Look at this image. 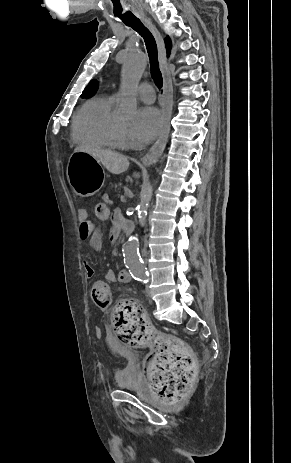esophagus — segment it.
I'll return each mask as SVG.
<instances>
[{
	"label": "esophagus",
	"mask_w": 291,
	"mask_h": 463,
	"mask_svg": "<svg viewBox=\"0 0 291 463\" xmlns=\"http://www.w3.org/2000/svg\"><path fill=\"white\" fill-rule=\"evenodd\" d=\"M145 23L148 25V27L151 29L153 32L160 51V61L161 65L164 69V78H165V86H164V103L162 107V114H163V130L157 139V141L153 144V146L150 148V150L147 152L146 155H144L141 158V163L143 165H151L155 163L159 157L162 155L167 140H168V135L170 132V109H169V90L167 86V78H168V73L166 72V59L164 55V43L163 39L159 33V31L156 29V27L152 24V22L149 19H144Z\"/></svg>",
	"instance_id": "esophagus-1"
}]
</instances>
